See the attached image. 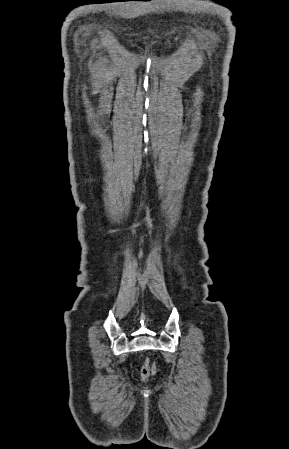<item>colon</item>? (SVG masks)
<instances>
[{
    "label": "colon",
    "mask_w": 289,
    "mask_h": 449,
    "mask_svg": "<svg viewBox=\"0 0 289 449\" xmlns=\"http://www.w3.org/2000/svg\"><path fill=\"white\" fill-rule=\"evenodd\" d=\"M156 373V365L155 363H147L142 369V377L149 378L150 376Z\"/></svg>",
    "instance_id": "1"
}]
</instances>
